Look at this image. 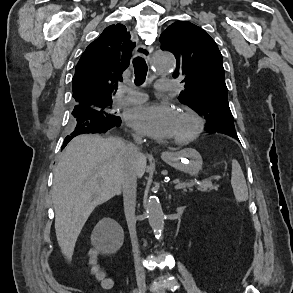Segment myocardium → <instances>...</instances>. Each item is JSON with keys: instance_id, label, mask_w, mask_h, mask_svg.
Listing matches in <instances>:
<instances>
[{"instance_id": "1", "label": "myocardium", "mask_w": 293, "mask_h": 293, "mask_svg": "<svg viewBox=\"0 0 293 293\" xmlns=\"http://www.w3.org/2000/svg\"><path fill=\"white\" fill-rule=\"evenodd\" d=\"M177 114L189 119L192 122V129L184 136L173 138V142L176 144H187L192 142L203 130V121L201 117L196 112L188 108L179 109Z\"/></svg>"}]
</instances>
